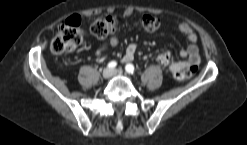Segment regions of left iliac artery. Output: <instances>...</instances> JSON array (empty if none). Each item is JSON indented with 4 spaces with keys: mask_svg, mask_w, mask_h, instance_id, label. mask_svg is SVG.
I'll list each match as a JSON object with an SVG mask.
<instances>
[{
    "mask_svg": "<svg viewBox=\"0 0 247 145\" xmlns=\"http://www.w3.org/2000/svg\"><path fill=\"white\" fill-rule=\"evenodd\" d=\"M125 70H126V72L129 73V74H133V73H134V66H133L132 64H127V65L125 66Z\"/></svg>",
    "mask_w": 247,
    "mask_h": 145,
    "instance_id": "44dca946",
    "label": "left iliac artery"
}]
</instances>
